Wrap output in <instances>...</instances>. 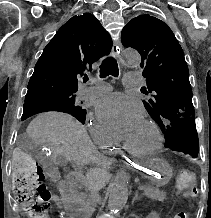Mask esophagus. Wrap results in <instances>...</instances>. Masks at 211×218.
<instances>
[{"mask_svg": "<svg viewBox=\"0 0 211 218\" xmlns=\"http://www.w3.org/2000/svg\"><path fill=\"white\" fill-rule=\"evenodd\" d=\"M122 49V44L120 41H116L112 47V54L119 60V55ZM128 149H125V152H120L118 155V160H123L125 167L128 172H142V164L138 163V159H131L130 153H127Z\"/></svg>", "mask_w": 211, "mask_h": 218, "instance_id": "esophagus-1", "label": "esophagus"}]
</instances>
